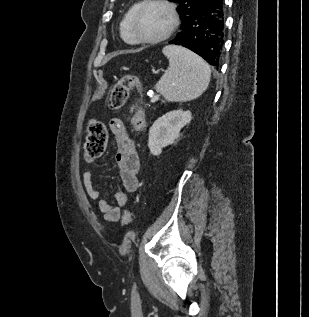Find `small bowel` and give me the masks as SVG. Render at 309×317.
Returning a JSON list of instances; mask_svg holds the SVG:
<instances>
[{
	"label": "small bowel",
	"mask_w": 309,
	"mask_h": 317,
	"mask_svg": "<svg viewBox=\"0 0 309 317\" xmlns=\"http://www.w3.org/2000/svg\"><path fill=\"white\" fill-rule=\"evenodd\" d=\"M109 127L116 143L115 160L119 168L122 189L115 194V204L101 199V193L93 181V173L88 170L83 174V184L91 199H98L99 209L104 219L109 222H118L122 218V209L127 207L131 195L139 188L138 172L140 159L136 144L130 136L124 122L118 118L109 120Z\"/></svg>",
	"instance_id": "c3829d8e"
}]
</instances>
